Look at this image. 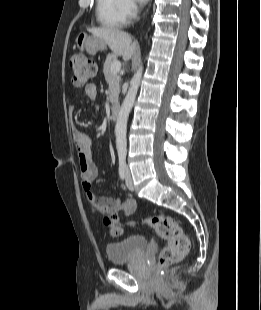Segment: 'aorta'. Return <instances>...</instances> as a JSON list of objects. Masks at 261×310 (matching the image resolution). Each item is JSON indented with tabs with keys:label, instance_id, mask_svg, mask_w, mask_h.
<instances>
[{
	"label": "aorta",
	"instance_id": "762f6f07",
	"mask_svg": "<svg viewBox=\"0 0 261 310\" xmlns=\"http://www.w3.org/2000/svg\"><path fill=\"white\" fill-rule=\"evenodd\" d=\"M142 73H143V66L141 64L130 81L129 90L121 105L117 117L115 136H116V148L119 156H125L127 153V139H126L127 121L138 92V88L142 79Z\"/></svg>",
	"mask_w": 261,
	"mask_h": 310
}]
</instances>
